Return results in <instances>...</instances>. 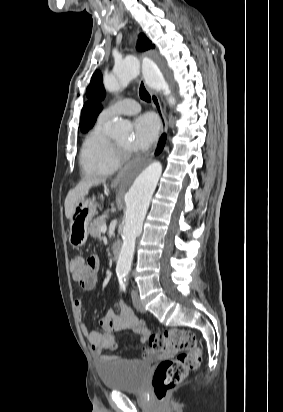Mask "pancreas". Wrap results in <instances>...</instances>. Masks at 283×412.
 <instances>
[{
  "mask_svg": "<svg viewBox=\"0 0 283 412\" xmlns=\"http://www.w3.org/2000/svg\"><path fill=\"white\" fill-rule=\"evenodd\" d=\"M106 221L103 218L95 219L90 225V234L93 238H99L101 236L100 228L105 225Z\"/></svg>",
  "mask_w": 283,
  "mask_h": 412,
  "instance_id": "pancreas-1",
  "label": "pancreas"
}]
</instances>
